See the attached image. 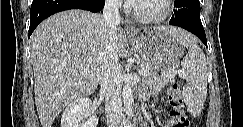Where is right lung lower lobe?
I'll return each instance as SVG.
<instances>
[{"mask_svg":"<svg viewBox=\"0 0 243 127\" xmlns=\"http://www.w3.org/2000/svg\"><path fill=\"white\" fill-rule=\"evenodd\" d=\"M104 0H33L30 13L29 37L44 19L57 12L68 9H83L98 12Z\"/></svg>","mask_w":243,"mask_h":127,"instance_id":"98d812e1","label":"right lung lower lobe"}]
</instances>
